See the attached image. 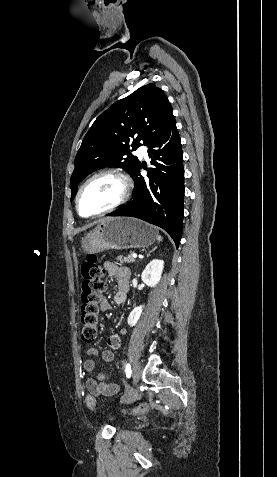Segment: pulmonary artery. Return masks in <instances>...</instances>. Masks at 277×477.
Wrapping results in <instances>:
<instances>
[{
  "label": "pulmonary artery",
  "mask_w": 277,
  "mask_h": 477,
  "mask_svg": "<svg viewBox=\"0 0 277 477\" xmlns=\"http://www.w3.org/2000/svg\"><path fill=\"white\" fill-rule=\"evenodd\" d=\"M136 153L139 157L147 158L148 157V148L145 145H142L137 149Z\"/></svg>",
  "instance_id": "obj_1"
}]
</instances>
